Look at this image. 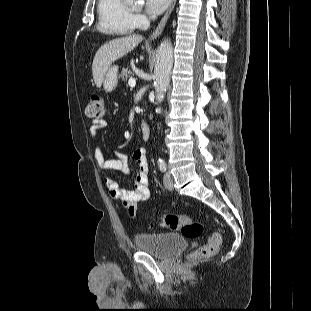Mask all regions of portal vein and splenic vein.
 I'll list each match as a JSON object with an SVG mask.
<instances>
[{
  "mask_svg": "<svg viewBox=\"0 0 311 311\" xmlns=\"http://www.w3.org/2000/svg\"><path fill=\"white\" fill-rule=\"evenodd\" d=\"M128 84L130 87H135L136 85V80L134 78H130L128 81Z\"/></svg>",
  "mask_w": 311,
  "mask_h": 311,
  "instance_id": "1",
  "label": "portal vein and splenic vein"
}]
</instances>
